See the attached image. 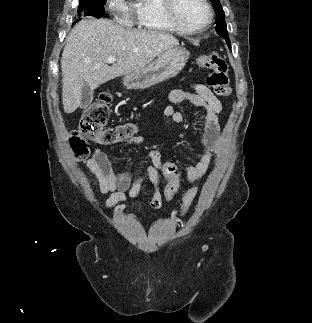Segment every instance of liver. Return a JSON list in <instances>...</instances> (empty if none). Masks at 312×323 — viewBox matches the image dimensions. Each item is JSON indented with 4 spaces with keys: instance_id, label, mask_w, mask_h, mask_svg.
Here are the masks:
<instances>
[{
    "instance_id": "obj_1",
    "label": "liver",
    "mask_w": 312,
    "mask_h": 323,
    "mask_svg": "<svg viewBox=\"0 0 312 323\" xmlns=\"http://www.w3.org/2000/svg\"><path fill=\"white\" fill-rule=\"evenodd\" d=\"M173 46H179L178 40L165 32L130 30L103 18L81 20L71 30L61 58L64 112L72 114L81 106L85 84L93 92L109 80L145 68ZM109 56H116L113 66H108Z\"/></svg>"
}]
</instances>
